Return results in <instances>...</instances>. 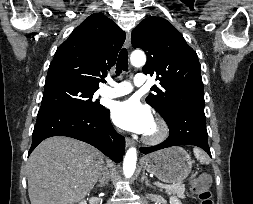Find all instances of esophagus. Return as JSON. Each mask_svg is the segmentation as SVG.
I'll use <instances>...</instances> for the list:
<instances>
[{
  "instance_id": "esophagus-1",
  "label": "esophagus",
  "mask_w": 253,
  "mask_h": 204,
  "mask_svg": "<svg viewBox=\"0 0 253 204\" xmlns=\"http://www.w3.org/2000/svg\"><path fill=\"white\" fill-rule=\"evenodd\" d=\"M130 46H131V33L128 32L126 35V40H125V47L129 48ZM125 142H126L127 147H130L131 145H133V140L129 137H126Z\"/></svg>"
}]
</instances>
